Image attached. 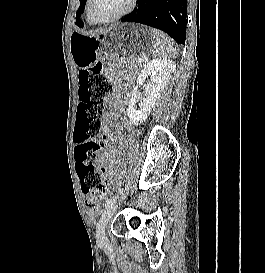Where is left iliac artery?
Segmentation results:
<instances>
[{
  "label": "left iliac artery",
  "instance_id": "obj_1",
  "mask_svg": "<svg viewBox=\"0 0 265 273\" xmlns=\"http://www.w3.org/2000/svg\"><path fill=\"white\" fill-rule=\"evenodd\" d=\"M115 200H116V196H113V197L109 198V199L106 201L105 205H104L105 208L111 206V205L115 202Z\"/></svg>",
  "mask_w": 265,
  "mask_h": 273
}]
</instances>
